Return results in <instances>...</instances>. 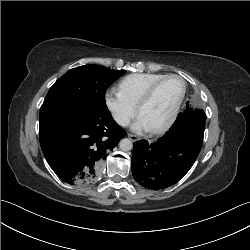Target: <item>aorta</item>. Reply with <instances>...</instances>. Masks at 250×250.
<instances>
[{
    "label": "aorta",
    "instance_id": "1",
    "mask_svg": "<svg viewBox=\"0 0 250 250\" xmlns=\"http://www.w3.org/2000/svg\"><path fill=\"white\" fill-rule=\"evenodd\" d=\"M119 147L122 151H129L132 149V141L128 138H124L119 142Z\"/></svg>",
    "mask_w": 250,
    "mask_h": 250
}]
</instances>
